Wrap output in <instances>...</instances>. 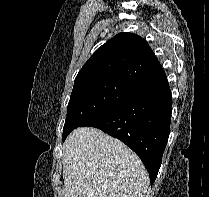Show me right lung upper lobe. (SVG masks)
I'll use <instances>...</instances> for the list:
<instances>
[{"mask_svg":"<svg viewBox=\"0 0 209 197\" xmlns=\"http://www.w3.org/2000/svg\"><path fill=\"white\" fill-rule=\"evenodd\" d=\"M166 78L148 43L134 33H119L83 65L75 83L111 80L140 90Z\"/></svg>","mask_w":209,"mask_h":197,"instance_id":"right-lung-upper-lobe-1","label":"right lung upper lobe"}]
</instances>
